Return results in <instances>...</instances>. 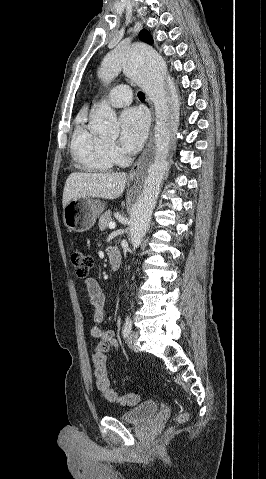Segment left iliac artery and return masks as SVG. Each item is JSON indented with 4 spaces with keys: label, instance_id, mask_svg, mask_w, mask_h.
Instances as JSON below:
<instances>
[{
    "label": "left iliac artery",
    "instance_id": "1",
    "mask_svg": "<svg viewBox=\"0 0 266 479\" xmlns=\"http://www.w3.org/2000/svg\"><path fill=\"white\" fill-rule=\"evenodd\" d=\"M131 329H132V321L127 316L126 319H125V324H124L123 330H122V334H123L124 338L126 336H128V334L131 332Z\"/></svg>",
    "mask_w": 266,
    "mask_h": 479
}]
</instances>
